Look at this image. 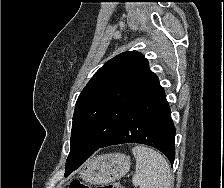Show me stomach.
<instances>
[{"label": "stomach", "mask_w": 224, "mask_h": 188, "mask_svg": "<svg viewBox=\"0 0 224 188\" xmlns=\"http://www.w3.org/2000/svg\"><path fill=\"white\" fill-rule=\"evenodd\" d=\"M130 157L122 153L98 155L85 163L79 177L86 183L106 184L123 177L130 169Z\"/></svg>", "instance_id": "0dacf381"}]
</instances>
